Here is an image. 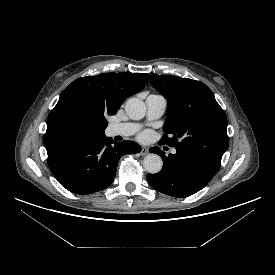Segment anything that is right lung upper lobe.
I'll return each instance as SVG.
<instances>
[{"label":"right lung upper lobe","mask_w":275,"mask_h":275,"mask_svg":"<svg viewBox=\"0 0 275 275\" xmlns=\"http://www.w3.org/2000/svg\"><path fill=\"white\" fill-rule=\"evenodd\" d=\"M149 80L143 73H103L78 78L60 95L47 119L46 150L103 137L107 115L116 114L127 97Z\"/></svg>","instance_id":"1"}]
</instances>
